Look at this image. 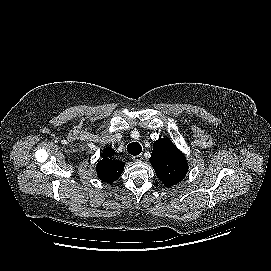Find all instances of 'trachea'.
I'll use <instances>...</instances> for the list:
<instances>
[{"label":"trachea","mask_w":271,"mask_h":271,"mask_svg":"<svg viewBox=\"0 0 271 271\" xmlns=\"http://www.w3.org/2000/svg\"><path fill=\"white\" fill-rule=\"evenodd\" d=\"M127 151L133 156H137L142 152V146L137 142H132L127 146Z\"/></svg>","instance_id":"trachea-1"}]
</instances>
